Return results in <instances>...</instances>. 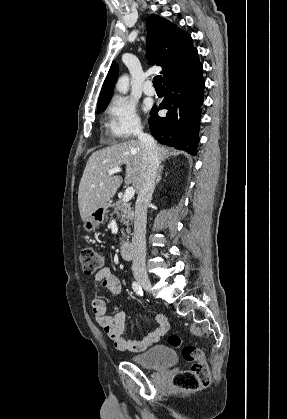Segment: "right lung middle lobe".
I'll list each match as a JSON object with an SVG mask.
<instances>
[{
    "mask_svg": "<svg viewBox=\"0 0 287 419\" xmlns=\"http://www.w3.org/2000/svg\"><path fill=\"white\" fill-rule=\"evenodd\" d=\"M107 105L97 108V113L104 111Z\"/></svg>",
    "mask_w": 287,
    "mask_h": 419,
    "instance_id": "dd1d6c3e",
    "label": "right lung middle lobe"
}]
</instances>
